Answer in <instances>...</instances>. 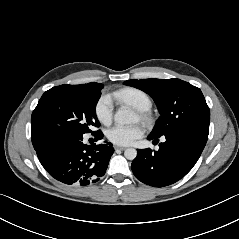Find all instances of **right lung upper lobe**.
Listing matches in <instances>:
<instances>
[{"mask_svg": "<svg viewBox=\"0 0 239 239\" xmlns=\"http://www.w3.org/2000/svg\"><path fill=\"white\" fill-rule=\"evenodd\" d=\"M88 85L103 86L102 84H99V83H88Z\"/></svg>", "mask_w": 239, "mask_h": 239, "instance_id": "1", "label": "right lung upper lobe"}]
</instances>
